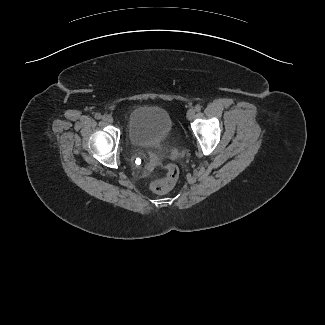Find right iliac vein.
Here are the masks:
<instances>
[{"label": "right iliac vein", "instance_id": "63e3f726", "mask_svg": "<svg viewBox=\"0 0 325 325\" xmlns=\"http://www.w3.org/2000/svg\"><path fill=\"white\" fill-rule=\"evenodd\" d=\"M102 119L106 123H112L113 122V118L111 116H109V115H103Z\"/></svg>", "mask_w": 325, "mask_h": 325}]
</instances>
